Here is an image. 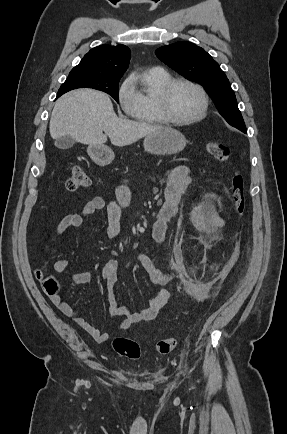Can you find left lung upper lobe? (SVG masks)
Segmentation results:
<instances>
[{"label":"left lung upper lobe","mask_w":287,"mask_h":434,"mask_svg":"<svg viewBox=\"0 0 287 434\" xmlns=\"http://www.w3.org/2000/svg\"><path fill=\"white\" fill-rule=\"evenodd\" d=\"M157 57L188 80L203 85L221 116L236 128H245L235 94L218 63L201 47L177 42L156 50Z\"/></svg>","instance_id":"obj_1"}]
</instances>
